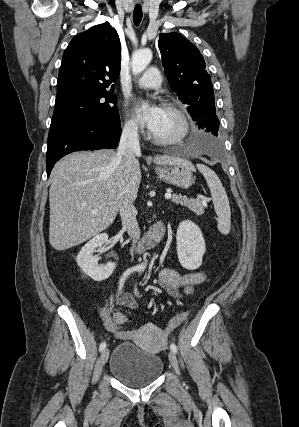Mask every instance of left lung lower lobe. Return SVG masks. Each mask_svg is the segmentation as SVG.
I'll list each match as a JSON object with an SVG mask.
<instances>
[{
  "label": "left lung lower lobe",
  "mask_w": 299,
  "mask_h": 427,
  "mask_svg": "<svg viewBox=\"0 0 299 427\" xmlns=\"http://www.w3.org/2000/svg\"><path fill=\"white\" fill-rule=\"evenodd\" d=\"M206 115L201 113V120L197 121V124L199 125V128L205 130L206 132H209L208 124L205 122ZM207 150L217 151L216 148H209Z\"/></svg>",
  "instance_id": "0a47b994"
}]
</instances>
